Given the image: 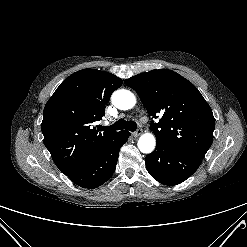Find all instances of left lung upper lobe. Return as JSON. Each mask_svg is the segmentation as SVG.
Here are the masks:
<instances>
[{
    "mask_svg": "<svg viewBox=\"0 0 247 247\" xmlns=\"http://www.w3.org/2000/svg\"><path fill=\"white\" fill-rule=\"evenodd\" d=\"M140 96L156 141L173 150L204 158L213 141L215 120L198 89L168 69L152 70L125 80Z\"/></svg>",
    "mask_w": 247,
    "mask_h": 247,
    "instance_id": "left-lung-upper-lobe-1",
    "label": "left lung upper lobe"
}]
</instances>
